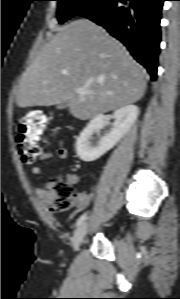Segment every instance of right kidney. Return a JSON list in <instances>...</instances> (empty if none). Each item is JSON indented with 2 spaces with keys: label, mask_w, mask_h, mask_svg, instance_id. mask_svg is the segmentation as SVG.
Masks as SVG:
<instances>
[{
  "label": "right kidney",
  "mask_w": 180,
  "mask_h": 299,
  "mask_svg": "<svg viewBox=\"0 0 180 299\" xmlns=\"http://www.w3.org/2000/svg\"><path fill=\"white\" fill-rule=\"evenodd\" d=\"M139 115V108L136 105H127L117 109L113 118L115 119L112 130L100 138L98 143L91 141L92 135L103 128L106 124L107 116L102 114L95 116L80 133L76 141V152L78 157L91 162L100 158L107 151L112 149L130 130Z\"/></svg>",
  "instance_id": "1"
}]
</instances>
